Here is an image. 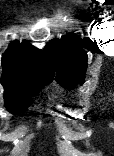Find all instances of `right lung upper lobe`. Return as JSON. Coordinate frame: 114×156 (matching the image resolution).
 <instances>
[{
	"instance_id": "obj_1",
	"label": "right lung upper lobe",
	"mask_w": 114,
	"mask_h": 156,
	"mask_svg": "<svg viewBox=\"0 0 114 156\" xmlns=\"http://www.w3.org/2000/svg\"><path fill=\"white\" fill-rule=\"evenodd\" d=\"M2 67L1 81L4 82L21 83L37 77H54V69L45 51L26 40L9 45L2 57Z\"/></svg>"
}]
</instances>
